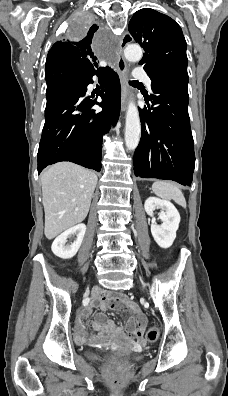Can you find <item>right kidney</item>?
<instances>
[{
	"label": "right kidney",
	"instance_id": "right-kidney-1",
	"mask_svg": "<svg viewBox=\"0 0 228 396\" xmlns=\"http://www.w3.org/2000/svg\"><path fill=\"white\" fill-rule=\"evenodd\" d=\"M85 232V224H77L64 231L52 243L51 249L54 255L62 259L74 257L82 244ZM74 236H76L74 242L66 245L67 239L74 238Z\"/></svg>",
	"mask_w": 228,
	"mask_h": 396
}]
</instances>
